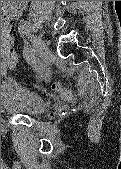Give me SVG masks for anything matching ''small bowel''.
I'll return each mask as SVG.
<instances>
[{
    "mask_svg": "<svg viewBox=\"0 0 121 169\" xmlns=\"http://www.w3.org/2000/svg\"><path fill=\"white\" fill-rule=\"evenodd\" d=\"M25 6V1H12L11 4L8 6H4L2 10V35H1V43L4 40H9L10 44H12L13 47V38L10 34V29L8 26L9 21L18 18L22 10Z\"/></svg>",
    "mask_w": 121,
    "mask_h": 169,
    "instance_id": "small-bowel-1",
    "label": "small bowel"
}]
</instances>
